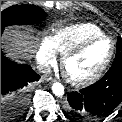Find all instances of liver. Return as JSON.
I'll list each match as a JSON object with an SVG mask.
<instances>
[{
	"instance_id": "6515ba94",
	"label": "liver",
	"mask_w": 122,
	"mask_h": 122,
	"mask_svg": "<svg viewBox=\"0 0 122 122\" xmlns=\"http://www.w3.org/2000/svg\"><path fill=\"white\" fill-rule=\"evenodd\" d=\"M38 41L29 30L9 29L6 34V47L10 55L28 60L37 50Z\"/></svg>"
}]
</instances>
